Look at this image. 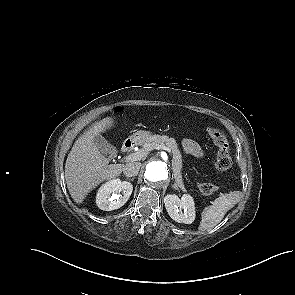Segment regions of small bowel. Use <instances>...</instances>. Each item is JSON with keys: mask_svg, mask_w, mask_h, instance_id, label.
<instances>
[{"mask_svg": "<svg viewBox=\"0 0 295 295\" xmlns=\"http://www.w3.org/2000/svg\"><path fill=\"white\" fill-rule=\"evenodd\" d=\"M182 147H183V151L188 155H191L197 158L203 155V152L200 146L191 139H185L182 142Z\"/></svg>", "mask_w": 295, "mask_h": 295, "instance_id": "obj_1", "label": "small bowel"}]
</instances>
